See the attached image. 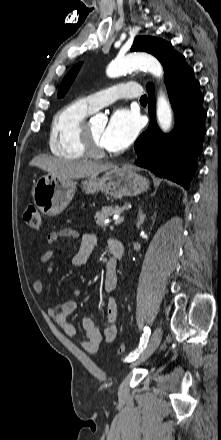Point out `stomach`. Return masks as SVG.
<instances>
[{
    "label": "stomach",
    "mask_w": 221,
    "mask_h": 440,
    "mask_svg": "<svg viewBox=\"0 0 221 440\" xmlns=\"http://www.w3.org/2000/svg\"><path fill=\"white\" fill-rule=\"evenodd\" d=\"M77 183L73 179H60L51 174L41 176L33 188V199L45 215L61 213L72 200ZM86 193L102 191L115 198L136 196L149 188V180L130 166H114L103 175H92L81 183Z\"/></svg>",
    "instance_id": "obj_1"
}]
</instances>
